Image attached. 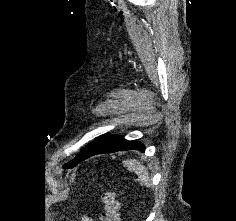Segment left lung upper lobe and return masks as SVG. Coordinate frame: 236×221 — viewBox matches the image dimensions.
<instances>
[{
  "label": "left lung upper lobe",
  "instance_id": "left-lung-upper-lobe-1",
  "mask_svg": "<svg viewBox=\"0 0 236 221\" xmlns=\"http://www.w3.org/2000/svg\"><path fill=\"white\" fill-rule=\"evenodd\" d=\"M76 162H77V156L72 161H70L69 163L65 164L63 166V168H65V169L73 168L74 166H76V164H77Z\"/></svg>",
  "mask_w": 236,
  "mask_h": 221
}]
</instances>
